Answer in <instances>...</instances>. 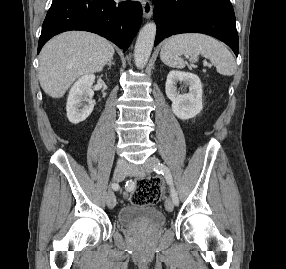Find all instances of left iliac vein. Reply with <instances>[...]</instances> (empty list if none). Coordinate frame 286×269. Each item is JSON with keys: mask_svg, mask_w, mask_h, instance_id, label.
Returning a JSON list of instances; mask_svg holds the SVG:
<instances>
[{"mask_svg": "<svg viewBox=\"0 0 286 269\" xmlns=\"http://www.w3.org/2000/svg\"><path fill=\"white\" fill-rule=\"evenodd\" d=\"M161 164L159 159L156 157H149L144 165L142 166H130L128 174L131 176L140 175L141 172H151L154 166ZM165 208L168 212H172L174 209V202L171 198H166Z\"/></svg>", "mask_w": 286, "mask_h": 269, "instance_id": "4c4485c4", "label": "left iliac vein"}]
</instances>
